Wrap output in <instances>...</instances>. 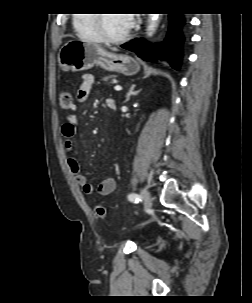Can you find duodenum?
Here are the masks:
<instances>
[{
	"mask_svg": "<svg viewBox=\"0 0 252 303\" xmlns=\"http://www.w3.org/2000/svg\"><path fill=\"white\" fill-rule=\"evenodd\" d=\"M108 107H109V108H114V107H115V103H114V102L108 103Z\"/></svg>",
	"mask_w": 252,
	"mask_h": 303,
	"instance_id": "obj_1",
	"label": "duodenum"
}]
</instances>
